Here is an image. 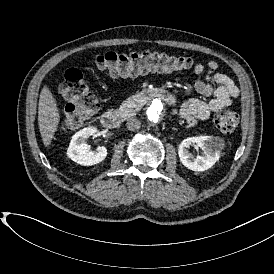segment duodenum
Instances as JSON below:
<instances>
[{
	"mask_svg": "<svg viewBox=\"0 0 274 274\" xmlns=\"http://www.w3.org/2000/svg\"><path fill=\"white\" fill-rule=\"evenodd\" d=\"M154 99H161L165 102H168L172 105L176 104V98L170 92L155 88V89H146L140 92L136 97L135 100L139 103H146ZM101 122L103 126L110 130L118 129L122 123V118L119 113L114 111L105 112L102 115Z\"/></svg>",
	"mask_w": 274,
	"mask_h": 274,
	"instance_id": "duodenum-1",
	"label": "duodenum"
}]
</instances>
